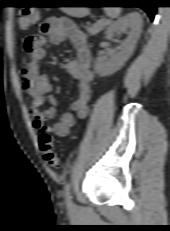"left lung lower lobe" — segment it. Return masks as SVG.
Listing matches in <instances>:
<instances>
[{
  "label": "left lung lower lobe",
  "instance_id": "left-lung-lower-lobe-1",
  "mask_svg": "<svg viewBox=\"0 0 170 231\" xmlns=\"http://www.w3.org/2000/svg\"><path fill=\"white\" fill-rule=\"evenodd\" d=\"M125 1H131V0H116V2L113 3H123ZM134 4H138L137 7L142 8L150 17L151 21L154 19V15L156 13L153 0H132Z\"/></svg>",
  "mask_w": 170,
  "mask_h": 231
}]
</instances>
